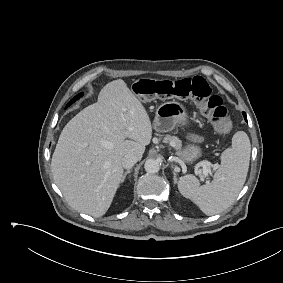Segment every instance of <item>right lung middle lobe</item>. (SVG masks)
<instances>
[{"label":"right lung middle lobe","instance_id":"dd1d6c3e","mask_svg":"<svg viewBox=\"0 0 283 283\" xmlns=\"http://www.w3.org/2000/svg\"><path fill=\"white\" fill-rule=\"evenodd\" d=\"M82 95H83V93H80V94L76 95V96L67 104L66 107L70 106L73 102H75L77 99H79Z\"/></svg>","mask_w":283,"mask_h":283}]
</instances>
